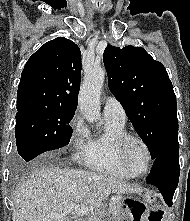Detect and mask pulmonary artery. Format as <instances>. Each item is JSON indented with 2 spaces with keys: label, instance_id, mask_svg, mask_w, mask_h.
Instances as JSON below:
<instances>
[{
  "label": "pulmonary artery",
  "instance_id": "obj_1",
  "mask_svg": "<svg viewBox=\"0 0 190 221\" xmlns=\"http://www.w3.org/2000/svg\"><path fill=\"white\" fill-rule=\"evenodd\" d=\"M103 115L105 118L119 122L126 121V113L121 103L114 97H108L104 102Z\"/></svg>",
  "mask_w": 190,
  "mask_h": 221
}]
</instances>
